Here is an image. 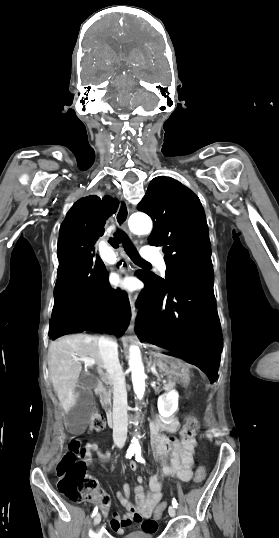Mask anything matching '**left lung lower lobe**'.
I'll return each mask as SVG.
<instances>
[{"label": "left lung lower lobe", "mask_w": 279, "mask_h": 538, "mask_svg": "<svg viewBox=\"0 0 279 538\" xmlns=\"http://www.w3.org/2000/svg\"><path fill=\"white\" fill-rule=\"evenodd\" d=\"M140 293L135 330L146 342L189 359L216 381L222 351L213 271L198 273L160 291L147 277Z\"/></svg>", "instance_id": "1"}]
</instances>
